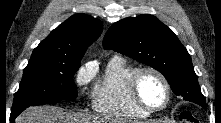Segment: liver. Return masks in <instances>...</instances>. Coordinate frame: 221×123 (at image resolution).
Here are the masks:
<instances>
[{
  "mask_svg": "<svg viewBox=\"0 0 221 123\" xmlns=\"http://www.w3.org/2000/svg\"><path fill=\"white\" fill-rule=\"evenodd\" d=\"M103 121V119H91L85 114L71 113L56 106L30 107L15 120L16 123H99Z\"/></svg>",
  "mask_w": 221,
  "mask_h": 123,
  "instance_id": "6515ba94",
  "label": "liver"
}]
</instances>
